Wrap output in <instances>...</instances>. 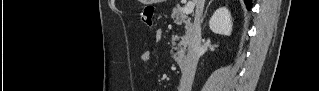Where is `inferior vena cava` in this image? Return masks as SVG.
I'll return each instance as SVG.
<instances>
[{"label":"inferior vena cava","mask_w":319,"mask_h":91,"mask_svg":"<svg viewBox=\"0 0 319 91\" xmlns=\"http://www.w3.org/2000/svg\"><path fill=\"white\" fill-rule=\"evenodd\" d=\"M205 0H196L195 19L188 42V52L185 66L182 69V76L178 91H191L192 83L199 60V49L201 44V22Z\"/></svg>","instance_id":"obj_1"}]
</instances>
